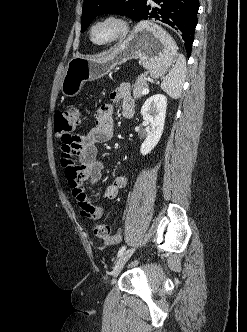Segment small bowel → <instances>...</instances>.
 Here are the masks:
<instances>
[{
    "label": "small bowel",
    "instance_id": "1",
    "mask_svg": "<svg viewBox=\"0 0 247 332\" xmlns=\"http://www.w3.org/2000/svg\"><path fill=\"white\" fill-rule=\"evenodd\" d=\"M111 103L103 104L95 112V126L87 135L75 138V145H62L60 162L68 187L76 199L81 215L92 220L101 218L103 210L93 203L85 183L96 187L102 177L103 161L97 158L98 144L109 141L114 135L113 112L120 105L121 114L131 118L135 112V103L128 85H120L110 95ZM127 184L125 175H118L104 190L102 197L107 200L116 198ZM112 242V241H110Z\"/></svg>",
    "mask_w": 247,
    "mask_h": 332
}]
</instances>
